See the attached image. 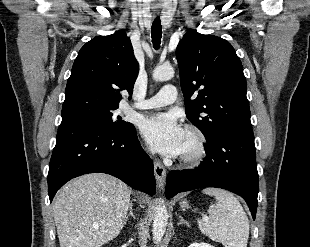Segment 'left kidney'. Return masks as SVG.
Here are the masks:
<instances>
[{
  "instance_id": "1",
  "label": "left kidney",
  "mask_w": 310,
  "mask_h": 247,
  "mask_svg": "<svg viewBox=\"0 0 310 247\" xmlns=\"http://www.w3.org/2000/svg\"><path fill=\"white\" fill-rule=\"evenodd\" d=\"M189 247H214L208 243H192Z\"/></svg>"
}]
</instances>
